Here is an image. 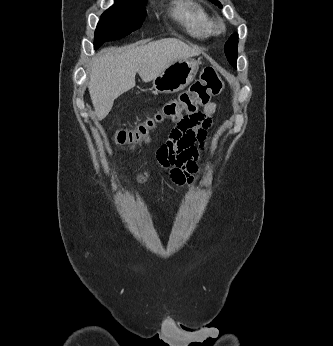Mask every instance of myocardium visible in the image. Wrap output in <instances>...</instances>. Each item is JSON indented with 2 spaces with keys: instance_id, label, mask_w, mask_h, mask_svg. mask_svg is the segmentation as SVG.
<instances>
[{
  "instance_id": "1",
  "label": "myocardium",
  "mask_w": 333,
  "mask_h": 346,
  "mask_svg": "<svg viewBox=\"0 0 333 346\" xmlns=\"http://www.w3.org/2000/svg\"><path fill=\"white\" fill-rule=\"evenodd\" d=\"M214 30L216 33H223L225 31V25L222 21H217L214 23Z\"/></svg>"
}]
</instances>
